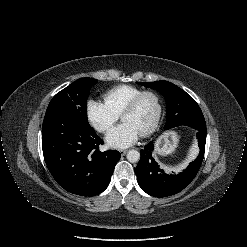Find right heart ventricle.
Returning <instances> with one entry per match:
<instances>
[{
  "mask_svg": "<svg viewBox=\"0 0 247 247\" xmlns=\"http://www.w3.org/2000/svg\"><path fill=\"white\" fill-rule=\"evenodd\" d=\"M143 90L133 85H119L104 93L105 103L118 115Z\"/></svg>",
  "mask_w": 247,
  "mask_h": 247,
  "instance_id": "e07e8e85",
  "label": "right heart ventricle"
}]
</instances>
